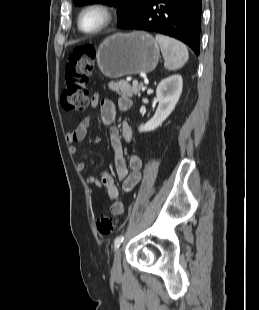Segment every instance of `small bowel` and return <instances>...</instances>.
<instances>
[{"label": "small bowel", "mask_w": 259, "mask_h": 310, "mask_svg": "<svg viewBox=\"0 0 259 310\" xmlns=\"http://www.w3.org/2000/svg\"><path fill=\"white\" fill-rule=\"evenodd\" d=\"M98 106L100 107L102 122L105 125L110 126L116 116L115 104L109 99L101 100L97 94H94L91 98L90 107L95 109ZM118 106L120 110L126 111L131 107V100L127 97H121L118 100ZM90 120L91 117L87 116L74 130L67 133L66 140L70 145V152L72 154H75L77 151L76 144L85 139L90 126ZM122 138L127 142L132 141L133 133L129 125L123 123L119 128L111 126L109 130V139L114 152L117 178L121 181L122 190L124 192H130L141 180L142 160L138 155L131 154L128 158V162H126ZM77 168L78 170L83 171L85 169V163L79 162ZM86 182L97 187H104L108 198L112 201V213L114 215H120L123 213L125 204L123 201L119 200V188L116 185L114 178L107 170H103L99 178L94 175L86 176Z\"/></svg>", "instance_id": "1"}]
</instances>
